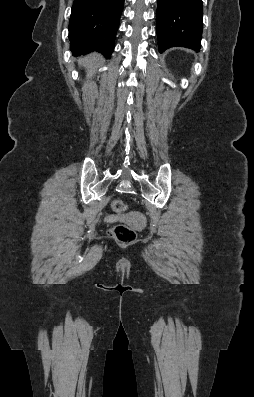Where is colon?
Segmentation results:
<instances>
[{
	"instance_id": "colon-1",
	"label": "colon",
	"mask_w": 254,
	"mask_h": 397,
	"mask_svg": "<svg viewBox=\"0 0 254 397\" xmlns=\"http://www.w3.org/2000/svg\"><path fill=\"white\" fill-rule=\"evenodd\" d=\"M111 209L117 214L127 212L128 205L120 199H115L111 203ZM110 235L119 243L130 244L136 239V232L125 224L114 225L110 231Z\"/></svg>"
}]
</instances>
